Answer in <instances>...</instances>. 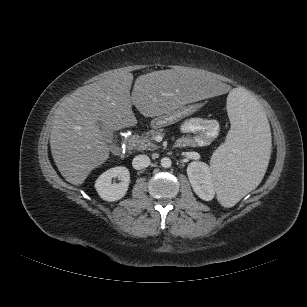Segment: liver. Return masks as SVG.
Segmentation results:
<instances>
[{
    "label": "liver",
    "mask_w": 307,
    "mask_h": 307,
    "mask_svg": "<svg viewBox=\"0 0 307 307\" xmlns=\"http://www.w3.org/2000/svg\"><path fill=\"white\" fill-rule=\"evenodd\" d=\"M132 81L131 73L107 72L100 80L78 88L57 109L50 146L58 170L69 183L81 185L109 158L97 121L113 132L137 123L132 105L145 117H154L230 90L219 78L185 67L139 76L130 95Z\"/></svg>",
    "instance_id": "6515ba94"
}]
</instances>
